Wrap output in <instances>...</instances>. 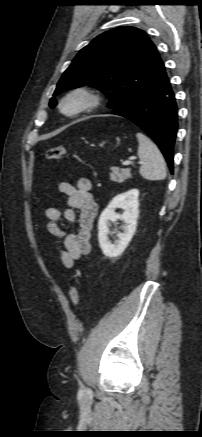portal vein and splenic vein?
Returning <instances> with one entry per match:
<instances>
[{
	"label": "portal vein and splenic vein",
	"instance_id": "18ae733b",
	"mask_svg": "<svg viewBox=\"0 0 202 437\" xmlns=\"http://www.w3.org/2000/svg\"><path fill=\"white\" fill-rule=\"evenodd\" d=\"M131 164H132L131 161H125V162L123 163V165H125V166H129V165H131ZM139 164H142V162H139Z\"/></svg>",
	"mask_w": 202,
	"mask_h": 437
}]
</instances>
